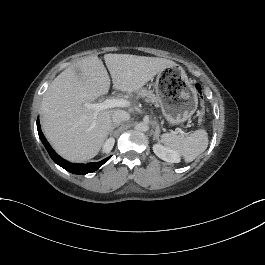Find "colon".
<instances>
[{
  "label": "colon",
  "mask_w": 265,
  "mask_h": 265,
  "mask_svg": "<svg viewBox=\"0 0 265 265\" xmlns=\"http://www.w3.org/2000/svg\"><path fill=\"white\" fill-rule=\"evenodd\" d=\"M196 90L198 92V94L200 95V98H202V92H201V87L199 85H196ZM205 115H206V110H205V106L204 103H201V108L199 110V120L200 122H204L205 121Z\"/></svg>",
  "instance_id": "obj_1"
}]
</instances>
